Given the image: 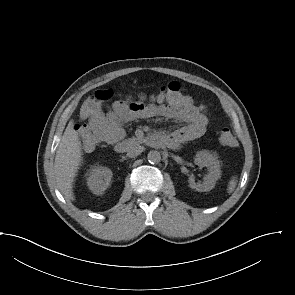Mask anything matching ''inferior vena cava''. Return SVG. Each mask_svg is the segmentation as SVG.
Segmentation results:
<instances>
[{
  "label": "inferior vena cava",
  "instance_id": "602c4592",
  "mask_svg": "<svg viewBox=\"0 0 295 295\" xmlns=\"http://www.w3.org/2000/svg\"><path fill=\"white\" fill-rule=\"evenodd\" d=\"M143 151H144L143 146L136 145L128 150L127 155H128V157L132 158V157H136V156L140 155Z\"/></svg>",
  "mask_w": 295,
  "mask_h": 295
}]
</instances>
